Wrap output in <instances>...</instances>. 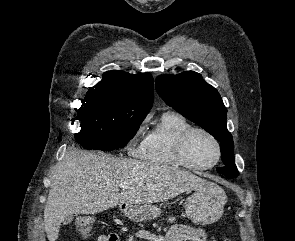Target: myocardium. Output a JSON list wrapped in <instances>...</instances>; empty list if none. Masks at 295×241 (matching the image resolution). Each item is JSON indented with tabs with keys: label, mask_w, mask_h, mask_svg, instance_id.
Returning a JSON list of instances; mask_svg holds the SVG:
<instances>
[{
	"label": "myocardium",
	"mask_w": 295,
	"mask_h": 241,
	"mask_svg": "<svg viewBox=\"0 0 295 241\" xmlns=\"http://www.w3.org/2000/svg\"><path fill=\"white\" fill-rule=\"evenodd\" d=\"M196 132H200V133H203L206 136H208L216 146L217 157H216L215 161L210 165H207V166L195 165V164L191 163L186 156L187 143L190 140V138L192 137V135ZM174 152H175L176 159L178 160V162L182 166H184L185 168H188L190 170H195V171H204V170H210V169L214 168L220 162L221 157H222L221 144H220L219 140L216 138V136L205 128L193 127V126L188 128L187 130H185L180 135V137L178 138V140L175 143Z\"/></svg>",
	"instance_id": "myocardium-1"
}]
</instances>
